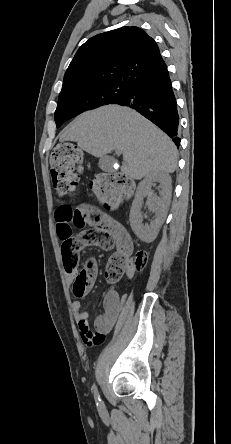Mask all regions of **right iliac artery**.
I'll return each instance as SVG.
<instances>
[{
    "label": "right iliac artery",
    "instance_id": "obj_1",
    "mask_svg": "<svg viewBox=\"0 0 231 444\" xmlns=\"http://www.w3.org/2000/svg\"><path fill=\"white\" fill-rule=\"evenodd\" d=\"M93 389H94V395H95V401L98 403H100L101 399L97 390V386L94 384L93 385Z\"/></svg>",
    "mask_w": 231,
    "mask_h": 444
}]
</instances>
